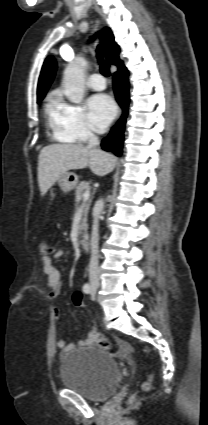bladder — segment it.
Listing matches in <instances>:
<instances>
[{
  "label": "bladder",
  "mask_w": 208,
  "mask_h": 425,
  "mask_svg": "<svg viewBox=\"0 0 208 425\" xmlns=\"http://www.w3.org/2000/svg\"><path fill=\"white\" fill-rule=\"evenodd\" d=\"M61 381L86 399L101 400L115 391L120 372L109 353L90 347L61 359Z\"/></svg>",
  "instance_id": "bladder-1"
}]
</instances>
